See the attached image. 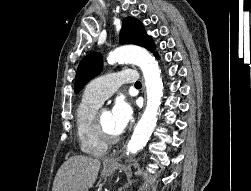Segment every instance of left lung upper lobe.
I'll return each instance as SVG.
<instances>
[{"mask_svg":"<svg viewBox=\"0 0 251 191\" xmlns=\"http://www.w3.org/2000/svg\"><path fill=\"white\" fill-rule=\"evenodd\" d=\"M121 44H134L145 47L154 52L156 46L150 36L145 32L144 26L134 17H127L122 22L120 31ZM157 57V53L154 52ZM102 70V59L98 53H92L84 57L77 69L75 77V93H78L83 86Z\"/></svg>","mask_w":251,"mask_h":191,"instance_id":"1","label":"left lung upper lobe"}]
</instances>
